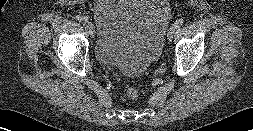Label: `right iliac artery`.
I'll return each instance as SVG.
<instances>
[{
  "label": "right iliac artery",
  "mask_w": 253,
  "mask_h": 131,
  "mask_svg": "<svg viewBox=\"0 0 253 131\" xmlns=\"http://www.w3.org/2000/svg\"><path fill=\"white\" fill-rule=\"evenodd\" d=\"M77 19H78V21L81 22L82 24H86V23L88 22V18L85 17V16L79 15V16H77Z\"/></svg>",
  "instance_id": "82829eb1"
}]
</instances>
